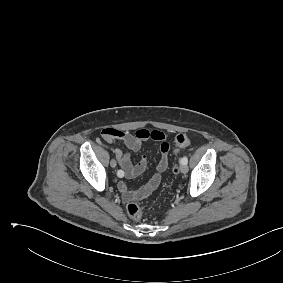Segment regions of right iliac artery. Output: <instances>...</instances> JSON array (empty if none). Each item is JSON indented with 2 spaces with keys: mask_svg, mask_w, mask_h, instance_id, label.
<instances>
[{
  "mask_svg": "<svg viewBox=\"0 0 283 283\" xmlns=\"http://www.w3.org/2000/svg\"><path fill=\"white\" fill-rule=\"evenodd\" d=\"M122 173H123V172H122L121 170H118V172H117L118 177H120V175H121Z\"/></svg>",
  "mask_w": 283,
  "mask_h": 283,
  "instance_id": "obj_1",
  "label": "right iliac artery"
}]
</instances>
